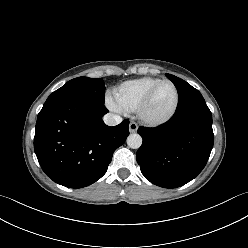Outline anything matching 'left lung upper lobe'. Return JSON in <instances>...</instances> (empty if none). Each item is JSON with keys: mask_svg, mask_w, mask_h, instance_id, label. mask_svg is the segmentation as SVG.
<instances>
[{"mask_svg": "<svg viewBox=\"0 0 248 248\" xmlns=\"http://www.w3.org/2000/svg\"><path fill=\"white\" fill-rule=\"evenodd\" d=\"M166 76L176 85L179 91V101L176 111L184 109L197 101H204L201 93L186 81L171 74H166Z\"/></svg>", "mask_w": 248, "mask_h": 248, "instance_id": "obj_1", "label": "left lung upper lobe"}]
</instances>
